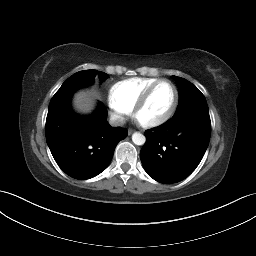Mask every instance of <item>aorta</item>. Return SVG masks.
<instances>
[{"instance_id": "1", "label": "aorta", "mask_w": 256, "mask_h": 256, "mask_svg": "<svg viewBox=\"0 0 256 256\" xmlns=\"http://www.w3.org/2000/svg\"><path fill=\"white\" fill-rule=\"evenodd\" d=\"M132 141L134 144L136 145H143L146 141V138L143 134L139 133V132H135L132 135Z\"/></svg>"}]
</instances>
